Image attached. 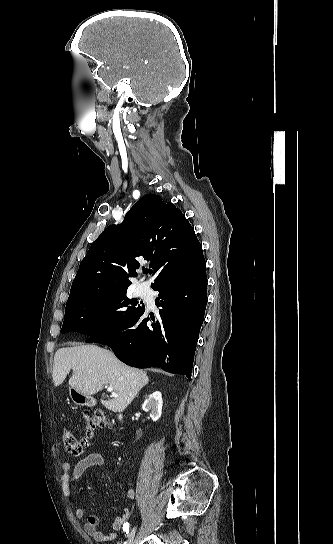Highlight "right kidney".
Segmentation results:
<instances>
[{
    "label": "right kidney",
    "mask_w": 333,
    "mask_h": 544,
    "mask_svg": "<svg viewBox=\"0 0 333 544\" xmlns=\"http://www.w3.org/2000/svg\"><path fill=\"white\" fill-rule=\"evenodd\" d=\"M162 403V394L161 392L156 391L145 400L142 409L149 412L150 417L155 422L161 417Z\"/></svg>",
    "instance_id": "ca27d5eb"
}]
</instances>
